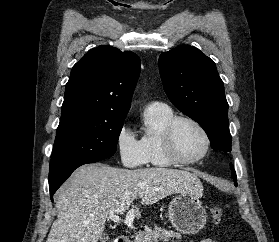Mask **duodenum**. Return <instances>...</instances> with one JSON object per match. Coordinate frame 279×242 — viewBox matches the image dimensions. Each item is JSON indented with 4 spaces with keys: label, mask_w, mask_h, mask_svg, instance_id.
<instances>
[{
    "label": "duodenum",
    "mask_w": 279,
    "mask_h": 242,
    "mask_svg": "<svg viewBox=\"0 0 279 242\" xmlns=\"http://www.w3.org/2000/svg\"><path fill=\"white\" fill-rule=\"evenodd\" d=\"M116 242H131V240L126 235H120L117 237Z\"/></svg>",
    "instance_id": "obj_1"
}]
</instances>
